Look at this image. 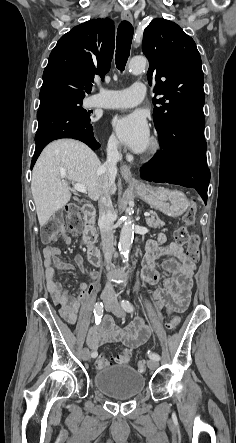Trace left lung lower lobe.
Instances as JSON below:
<instances>
[{
  "mask_svg": "<svg viewBox=\"0 0 236 443\" xmlns=\"http://www.w3.org/2000/svg\"><path fill=\"white\" fill-rule=\"evenodd\" d=\"M203 110L187 109L171 117L158 132L161 150L140 168L141 178L195 188L205 204L210 181Z\"/></svg>",
  "mask_w": 236,
  "mask_h": 443,
  "instance_id": "left-lung-lower-lobe-1",
  "label": "left lung lower lobe"
}]
</instances>
